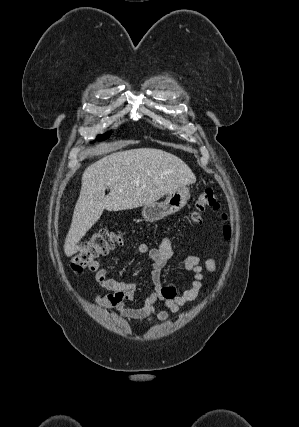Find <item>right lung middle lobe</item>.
I'll return each instance as SVG.
<instances>
[{"mask_svg":"<svg viewBox=\"0 0 299 427\" xmlns=\"http://www.w3.org/2000/svg\"><path fill=\"white\" fill-rule=\"evenodd\" d=\"M108 137V135H98L97 140H104Z\"/></svg>","mask_w":299,"mask_h":427,"instance_id":"1","label":"right lung middle lobe"}]
</instances>
